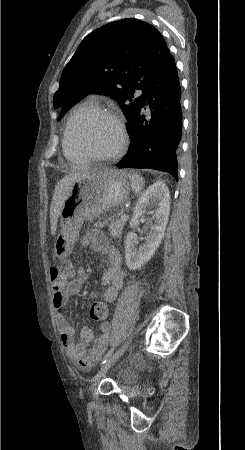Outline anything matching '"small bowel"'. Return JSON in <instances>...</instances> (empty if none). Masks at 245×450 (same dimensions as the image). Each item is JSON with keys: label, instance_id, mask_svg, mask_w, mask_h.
<instances>
[{"label": "small bowel", "instance_id": "c3829d8e", "mask_svg": "<svg viewBox=\"0 0 245 450\" xmlns=\"http://www.w3.org/2000/svg\"><path fill=\"white\" fill-rule=\"evenodd\" d=\"M81 244L104 256V272L101 284L105 286L103 301L111 304L115 301L118 292L124 284V273L120 267V255L116 247L107 239L103 231L91 229L82 237ZM53 280V306L54 316L66 355L82 371L89 370L102 356L107 348L110 338L111 326L108 321L99 324L100 336L93 338L90 328L84 327L81 331L80 342H75V330L65 313L68 300L76 296L83 284L88 280V272L84 267L74 269L68 266L65 269L53 267L50 270ZM95 298L97 295L92 293Z\"/></svg>", "mask_w": 245, "mask_h": 450}]
</instances>
